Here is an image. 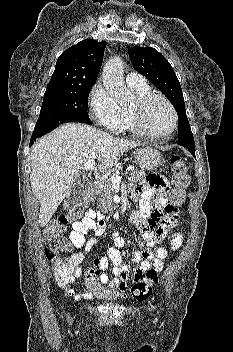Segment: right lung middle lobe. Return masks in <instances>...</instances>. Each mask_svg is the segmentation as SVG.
<instances>
[{
  "mask_svg": "<svg viewBox=\"0 0 233 352\" xmlns=\"http://www.w3.org/2000/svg\"><path fill=\"white\" fill-rule=\"evenodd\" d=\"M92 87L47 88L35 129L74 118L90 120L87 108Z\"/></svg>",
  "mask_w": 233,
  "mask_h": 352,
  "instance_id": "1",
  "label": "right lung middle lobe"
}]
</instances>
